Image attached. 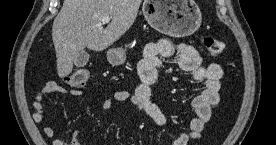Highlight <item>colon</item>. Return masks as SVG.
<instances>
[{
  "instance_id": "5ec220e1",
  "label": "colon",
  "mask_w": 276,
  "mask_h": 145,
  "mask_svg": "<svg viewBox=\"0 0 276 145\" xmlns=\"http://www.w3.org/2000/svg\"><path fill=\"white\" fill-rule=\"evenodd\" d=\"M203 44L210 55L219 56L225 50V44L223 41L210 36L205 35L202 38ZM89 79V72L84 68L75 69L65 77V82L73 87H81L86 84Z\"/></svg>"
}]
</instances>
